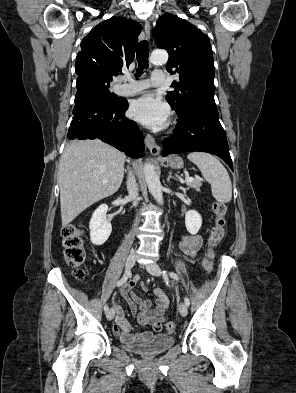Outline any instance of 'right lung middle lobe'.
<instances>
[{
    "mask_svg": "<svg viewBox=\"0 0 296 393\" xmlns=\"http://www.w3.org/2000/svg\"><path fill=\"white\" fill-rule=\"evenodd\" d=\"M89 82H91L95 88L110 102L113 104H117L120 102L121 98H117V95L114 93H111L109 91V84L110 82H106L103 80H100L95 77H87L86 78Z\"/></svg>",
    "mask_w": 296,
    "mask_h": 393,
    "instance_id": "1",
    "label": "right lung middle lobe"
}]
</instances>
